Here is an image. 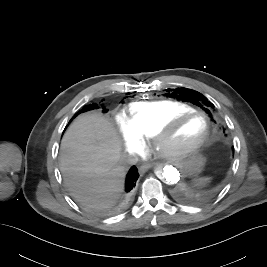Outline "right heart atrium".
<instances>
[{"instance_id": "right-heart-atrium-1", "label": "right heart atrium", "mask_w": 267, "mask_h": 267, "mask_svg": "<svg viewBox=\"0 0 267 267\" xmlns=\"http://www.w3.org/2000/svg\"><path fill=\"white\" fill-rule=\"evenodd\" d=\"M117 122L121 126L122 139L125 149L131 155H138L144 149L142 138L132 129L124 124L122 117L117 116Z\"/></svg>"}]
</instances>
